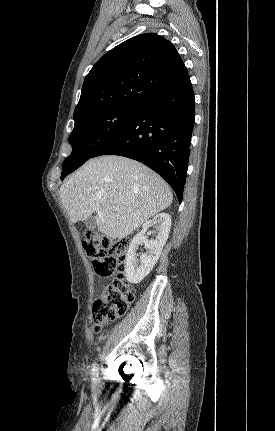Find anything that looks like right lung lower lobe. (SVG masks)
<instances>
[{"instance_id":"1","label":"right lung lower lobe","mask_w":275,"mask_h":431,"mask_svg":"<svg viewBox=\"0 0 275 431\" xmlns=\"http://www.w3.org/2000/svg\"><path fill=\"white\" fill-rule=\"evenodd\" d=\"M194 120V93L186 75L141 104L132 120L93 157L120 155L142 162L169 183L181 203Z\"/></svg>"}]
</instances>
